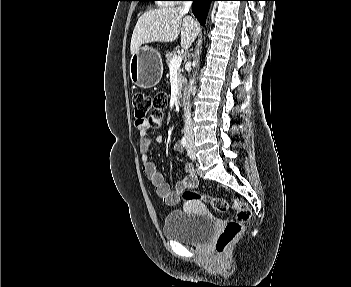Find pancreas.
Wrapping results in <instances>:
<instances>
[{
  "label": "pancreas",
  "mask_w": 351,
  "mask_h": 287,
  "mask_svg": "<svg viewBox=\"0 0 351 287\" xmlns=\"http://www.w3.org/2000/svg\"><path fill=\"white\" fill-rule=\"evenodd\" d=\"M176 56V52H168L166 53V63L168 65V67H170L171 61L173 59V57ZM183 69H181L180 67L177 69V76H178V85L179 88L181 89L182 84L184 82V76L182 74Z\"/></svg>",
  "instance_id": "cf45deb5"
}]
</instances>
